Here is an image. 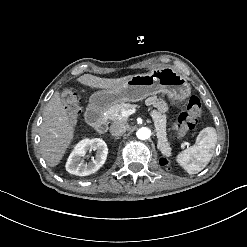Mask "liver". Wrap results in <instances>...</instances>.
Wrapping results in <instances>:
<instances>
[{"mask_svg":"<svg viewBox=\"0 0 247 247\" xmlns=\"http://www.w3.org/2000/svg\"><path fill=\"white\" fill-rule=\"evenodd\" d=\"M131 77L128 75L117 79H108L84 74L77 81L95 88L118 89ZM75 124L76 122L69 118L67 110L61 102L60 94L56 91L44 109L40 130V149L48 166L54 167L62 159L73 139Z\"/></svg>","mask_w":247,"mask_h":247,"instance_id":"obj_1","label":"liver"}]
</instances>
